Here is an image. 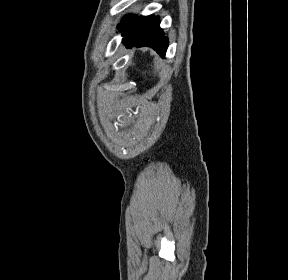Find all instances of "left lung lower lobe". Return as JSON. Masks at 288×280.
I'll return each instance as SVG.
<instances>
[{"label": "left lung lower lobe", "mask_w": 288, "mask_h": 280, "mask_svg": "<svg viewBox=\"0 0 288 280\" xmlns=\"http://www.w3.org/2000/svg\"><path fill=\"white\" fill-rule=\"evenodd\" d=\"M158 18L153 15L131 16L121 29L122 43L128 48L132 46L152 47L160 56L164 57L168 47V38L164 36L159 27Z\"/></svg>", "instance_id": "obj_1"}]
</instances>
